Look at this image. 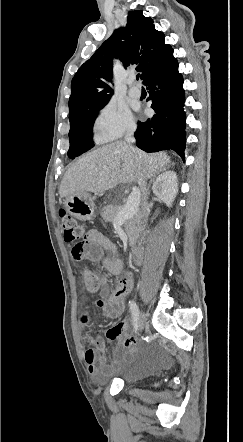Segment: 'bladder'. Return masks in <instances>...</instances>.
<instances>
[{"label":"bladder","instance_id":"obj_1","mask_svg":"<svg viewBox=\"0 0 243 442\" xmlns=\"http://www.w3.org/2000/svg\"><path fill=\"white\" fill-rule=\"evenodd\" d=\"M153 372L150 361L142 354H135L117 370L118 378L128 385H136Z\"/></svg>","mask_w":243,"mask_h":442}]
</instances>
